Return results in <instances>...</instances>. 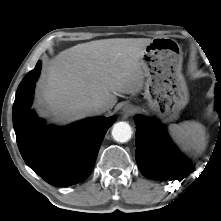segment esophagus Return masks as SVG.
I'll return each mask as SVG.
<instances>
[{
    "label": "esophagus",
    "instance_id": "34e87169",
    "mask_svg": "<svg viewBox=\"0 0 221 221\" xmlns=\"http://www.w3.org/2000/svg\"><path fill=\"white\" fill-rule=\"evenodd\" d=\"M135 109L131 105H125L120 110V115L123 118L129 117L134 113Z\"/></svg>",
    "mask_w": 221,
    "mask_h": 221
}]
</instances>
